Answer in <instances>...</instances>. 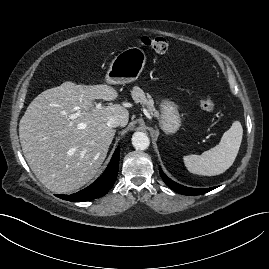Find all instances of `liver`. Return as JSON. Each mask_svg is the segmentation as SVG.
Instances as JSON below:
<instances>
[{
    "label": "liver",
    "mask_w": 269,
    "mask_h": 269,
    "mask_svg": "<svg viewBox=\"0 0 269 269\" xmlns=\"http://www.w3.org/2000/svg\"><path fill=\"white\" fill-rule=\"evenodd\" d=\"M117 97L106 84L66 81L29 104L19 123L20 143L30 169L46 188L70 193L97 174L116 132L108 120L117 117L125 127L129 112L120 104L96 108L93 102Z\"/></svg>",
    "instance_id": "obj_1"
}]
</instances>
